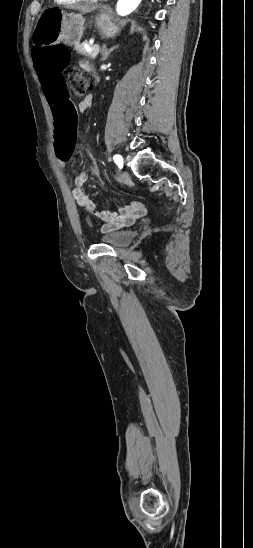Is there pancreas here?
Masks as SVG:
<instances>
[{
	"label": "pancreas",
	"instance_id": "obj_1",
	"mask_svg": "<svg viewBox=\"0 0 253 548\" xmlns=\"http://www.w3.org/2000/svg\"><path fill=\"white\" fill-rule=\"evenodd\" d=\"M95 46L96 45H89V48H90V51H89L85 48L83 44H80L75 46V50L77 51L78 54L84 55L88 57L89 59H95L98 54V53L97 54L94 53Z\"/></svg>",
	"mask_w": 253,
	"mask_h": 548
}]
</instances>
